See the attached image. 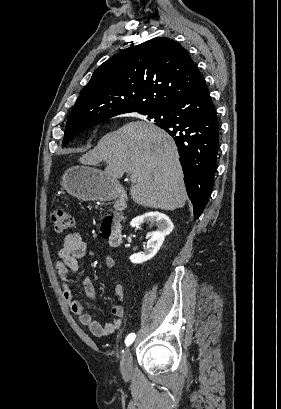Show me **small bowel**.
<instances>
[{
  "label": "small bowel",
  "instance_id": "obj_1",
  "mask_svg": "<svg viewBox=\"0 0 281 409\" xmlns=\"http://www.w3.org/2000/svg\"><path fill=\"white\" fill-rule=\"evenodd\" d=\"M86 249V243L80 234L70 233L66 235L58 250L56 271L62 282L63 297L70 310L77 315L80 324L88 327L94 336L105 337L118 331L122 327L123 318L125 316V307L123 305L125 293L121 285H115V304L112 308L114 319L105 325H101L92 319L90 314L84 311L82 304L74 298L73 286L75 275L79 267V260L84 257ZM104 264L108 269H112L115 266V260L111 255H108L105 257ZM81 283L86 296L91 301L96 302L97 294L92 281L89 278H83Z\"/></svg>",
  "mask_w": 281,
  "mask_h": 409
}]
</instances>
